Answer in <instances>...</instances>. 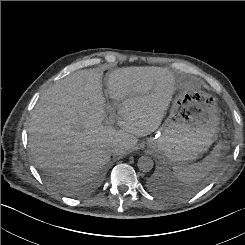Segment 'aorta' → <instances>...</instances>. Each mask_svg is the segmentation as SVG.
I'll return each mask as SVG.
<instances>
[{"label": "aorta", "instance_id": "aorta-1", "mask_svg": "<svg viewBox=\"0 0 245 245\" xmlns=\"http://www.w3.org/2000/svg\"><path fill=\"white\" fill-rule=\"evenodd\" d=\"M154 162L149 156H141L138 159L137 166L142 172H149L153 168Z\"/></svg>", "mask_w": 245, "mask_h": 245}]
</instances>
